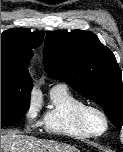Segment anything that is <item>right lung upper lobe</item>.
<instances>
[{"label":"right lung upper lobe","instance_id":"obj_1","mask_svg":"<svg viewBox=\"0 0 123 152\" xmlns=\"http://www.w3.org/2000/svg\"><path fill=\"white\" fill-rule=\"evenodd\" d=\"M43 32L10 29L1 34V75H9L32 86L26 67L33 56L32 49L40 46Z\"/></svg>","mask_w":123,"mask_h":152}]
</instances>
